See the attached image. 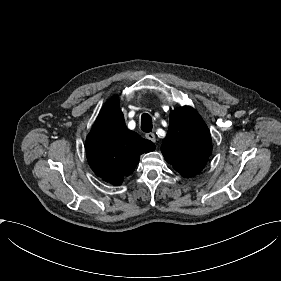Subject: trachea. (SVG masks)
I'll use <instances>...</instances> for the list:
<instances>
[{
	"mask_svg": "<svg viewBox=\"0 0 281 281\" xmlns=\"http://www.w3.org/2000/svg\"><path fill=\"white\" fill-rule=\"evenodd\" d=\"M153 128L151 116L147 113L143 114L141 117V129L144 132H151Z\"/></svg>",
	"mask_w": 281,
	"mask_h": 281,
	"instance_id": "1",
	"label": "trachea"
}]
</instances>
